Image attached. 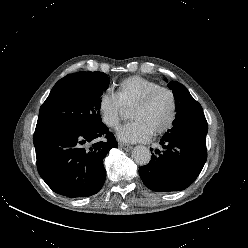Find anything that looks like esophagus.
<instances>
[{"instance_id":"esophagus-1","label":"esophagus","mask_w":248,"mask_h":248,"mask_svg":"<svg viewBox=\"0 0 248 248\" xmlns=\"http://www.w3.org/2000/svg\"><path fill=\"white\" fill-rule=\"evenodd\" d=\"M119 147L124 149V150H130L132 147L126 143H119Z\"/></svg>"}]
</instances>
